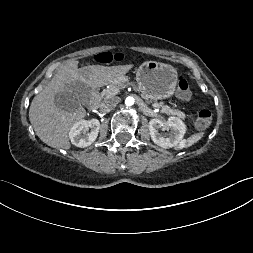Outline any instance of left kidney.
Returning a JSON list of instances; mask_svg holds the SVG:
<instances>
[{"label": "left kidney", "mask_w": 253, "mask_h": 253, "mask_svg": "<svg viewBox=\"0 0 253 253\" xmlns=\"http://www.w3.org/2000/svg\"><path fill=\"white\" fill-rule=\"evenodd\" d=\"M159 130H168L169 133L161 134ZM149 131L152 141L167 149L177 146L181 142L186 133V125L176 117H170L166 122L156 118L149 121Z\"/></svg>", "instance_id": "left-kidney-1"}]
</instances>
